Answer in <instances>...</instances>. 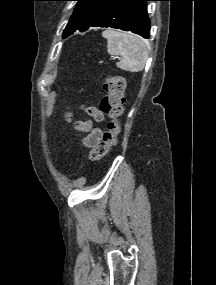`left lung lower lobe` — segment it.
<instances>
[{
	"instance_id": "1",
	"label": "left lung lower lobe",
	"mask_w": 216,
	"mask_h": 285,
	"mask_svg": "<svg viewBox=\"0 0 216 285\" xmlns=\"http://www.w3.org/2000/svg\"><path fill=\"white\" fill-rule=\"evenodd\" d=\"M147 1L153 0H115L89 27H111L149 38L150 22L147 15Z\"/></svg>"
}]
</instances>
